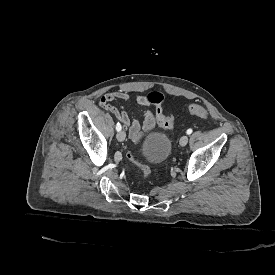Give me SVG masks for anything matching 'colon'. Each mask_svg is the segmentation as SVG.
<instances>
[{
  "label": "colon",
  "mask_w": 275,
  "mask_h": 275,
  "mask_svg": "<svg viewBox=\"0 0 275 275\" xmlns=\"http://www.w3.org/2000/svg\"><path fill=\"white\" fill-rule=\"evenodd\" d=\"M144 99L148 103H155L156 116L159 119L160 127L165 128V129L171 128L174 124V119L172 117L165 116L162 108L160 107V104L164 103L166 100L165 95L158 91H151V92H148L145 94ZM189 112H190V114L200 117L205 120H207L209 118V114H208L207 110L201 106H198V105L190 106ZM128 158L130 160H132L133 163L138 167V169L143 177L149 176V168L144 162L136 159L135 155L132 152L128 153Z\"/></svg>",
  "instance_id": "1"
}]
</instances>
